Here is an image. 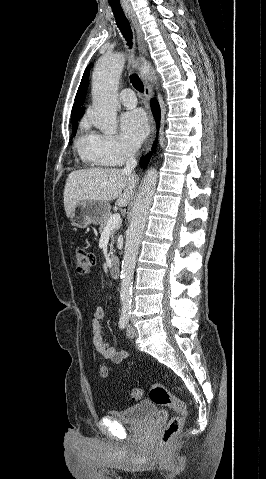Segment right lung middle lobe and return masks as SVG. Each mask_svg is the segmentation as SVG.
<instances>
[{
    "instance_id": "right-lung-middle-lobe-1",
    "label": "right lung middle lobe",
    "mask_w": 266,
    "mask_h": 479,
    "mask_svg": "<svg viewBox=\"0 0 266 479\" xmlns=\"http://www.w3.org/2000/svg\"><path fill=\"white\" fill-rule=\"evenodd\" d=\"M77 121H78V120L72 121V122H73V134H74V135H75V133H76Z\"/></svg>"
}]
</instances>
